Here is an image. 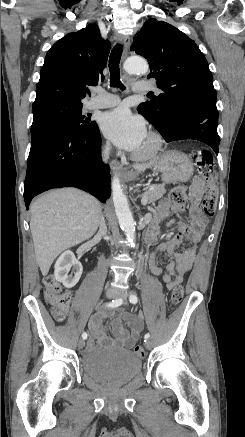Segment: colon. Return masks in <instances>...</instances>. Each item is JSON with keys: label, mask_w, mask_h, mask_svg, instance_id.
Wrapping results in <instances>:
<instances>
[{"label": "colon", "mask_w": 245, "mask_h": 437, "mask_svg": "<svg viewBox=\"0 0 245 437\" xmlns=\"http://www.w3.org/2000/svg\"><path fill=\"white\" fill-rule=\"evenodd\" d=\"M194 158L198 173L207 184L205 195L201 200V208L205 215L212 216L215 211L218 196V191L213 181V157L208 151H198L194 154ZM186 196V188L184 186H178L171 190L169 200L176 204H183L186 200ZM44 294L46 301L53 308L56 319L58 321L63 320L70 304V294L63 292L59 283L52 276L44 280ZM182 298V287H175L170 296L171 304H179ZM134 352L139 357L145 356V350L142 346H136Z\"/></svg>", "instance_id": "obj_1"}]
</instances>
